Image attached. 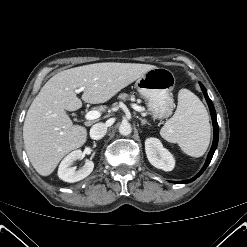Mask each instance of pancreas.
<instances>
[{"instance_id":"cf45deb5","label":"pancreas","mask_w":247,"mask_h":247,"mask_svg":"<svg viewBox=\"0 0 247 247\" xmlns=\"http://www.w3.org/2000/svg\"><path fill=\"white\" fill-rule=\"evenodd\" d=\"M127 97H128V94H126V93H123V94L119 95L120 99H126Z\"/></svg>"}]
</instances>
